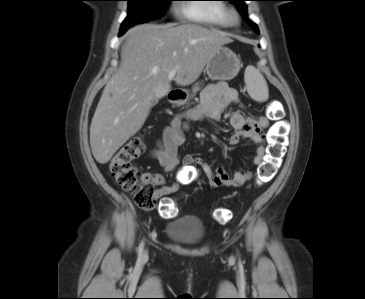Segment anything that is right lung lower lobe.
Wrapping results in <instances>:
<instances>
[{
    "mask_svg": "<svg viewBox=\"0 0 365 299\" xmlns=\"http://www.w3.org/2000/svg\"><path fill=\"white\" fill-rule=\"evenodd\" d=\"M130 27H122L119 36L123 35Z\"/></svg>",
    "mask_w": 365,
    "mask_h": 299,
    "instance_id": "1",
    "label": "right lung lower lobe"
}]
</instances>
